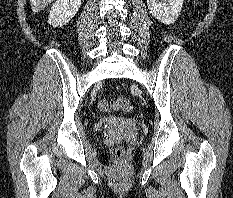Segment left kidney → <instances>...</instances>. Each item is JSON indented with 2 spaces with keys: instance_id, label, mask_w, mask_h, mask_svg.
<instances>
[{
  "instance_id": "left-kidney-1",
  "label": "left kidney",
  "mask_w": 233,
  "mask_h": 198,
  "mask_svg": "<svg viewBox=\"0 0 233 198\" xmlns=\"http://www.w3.org/2000/svg\"><path fill=\"white\" fill-rule=\"evenodd\" d=\"M184 0H147L150 13L160 22L174 23L181 13Z\"/></svg>"
}]
</instances>
